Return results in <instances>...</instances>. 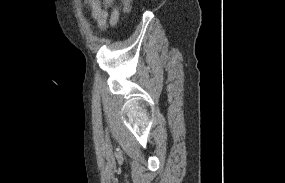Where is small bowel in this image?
Masks as SVG:
<instances>
[{
  "instance_id": "small-bowel-1",
  "label": "small bowel",
  "mask_w": 285,
  "mask_h": 183,
  "mask_svg": "<svg viewBox=\"0 0 285 183\" xmlns=\"http://www.w3.org/2000/svg\"><path fill=\"white\" fill-rule=\"evenodd\" d=\"M91 10L93 20L101 29H108L117 24L120 11L113 8L114 0H84ZM113 8L109 14V9Z\"/></svg>"
}]
</instances>
